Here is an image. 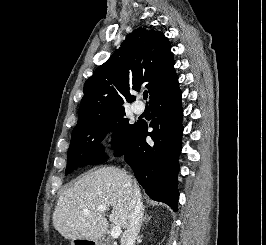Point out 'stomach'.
<instances>
[{"instance_id":"obj_1","label":"stomach","mask_w":266,"mask_h":245,"mask_svg":"<svg viewBox=\"0 0 266 245\" xmlns=\"http://www.w3.org/2000/svg\"><path fill=\"white\" fill-rule=\"evenodd\" d=\"M71 245H76L75 241H73V243H71ZM94 245H96L95 241H94Z\"/></svg>"}]
</instances>
